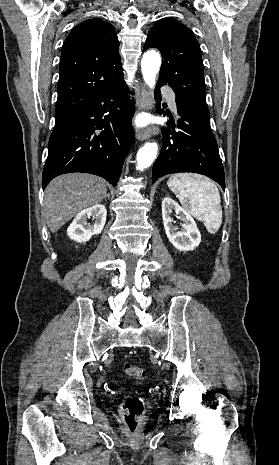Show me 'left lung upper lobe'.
<instances>
[{
    "instance_id": "left-lung-upper-lobe-1",
    "label": "left lung upper lobe",
    "mask_w": 279,
    "mask_h": 465,
    "mask_svg": "<svg viewBox=\"0 0 279 465\" xmlns=\"http://www.w3.org/2000/svg\"><path fill=\"white\" fill-rule=\"evenodd\" d=\"M151 47L158 48L162 53L159 82L172 87L177 106L210 122L204 65L193 32L176 19L163 18L148 32L144 50Z\"/></svg>"
}]
</instances>
